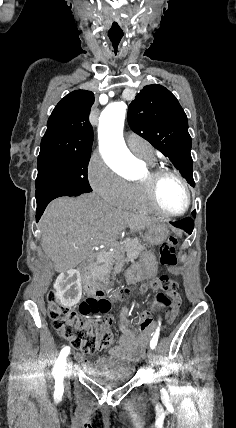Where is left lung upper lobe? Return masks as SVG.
Returning <instances> with one entry per match:
<instances>
[{
    "label": "left lung upper lobe",
    "mask_w": 236,
    "mask_h": 428,
    "mask_svg": "<svg viewBox=\"0 0 236 428\" xmlns=\"http://www.w3.org/2000/svg\"><path fill=\"white\" fill-rule=\"evenodd\" d=\"M131 129L167 156L194 187L191 137L176 97L157 84L145 86L128 108Z\"/></svg>",
    "instance_id": "left-lung-upper-lobe-1"
}]
</instances>
